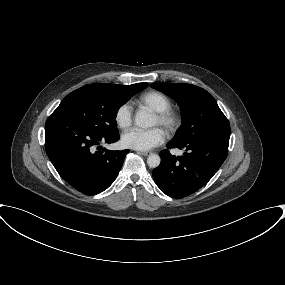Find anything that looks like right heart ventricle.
Instances as JSON below:
<instances>
[{
  "instance_id": "obj_1",
  "label": "right heart ventricle",
  "mask_w": 285,
  "mask_h": 285,
  "mask_svg": "<svg viewBox=\"0 0 285 285\" xmlns=\"http://www.w3.org/2000/svg\"><path fill=\"white\" fill-rule=\"evenodd\" d=\"M139 102L154 112L164 111L171 108L172 105L170 98L160 91H148L142 94Z\"/></svg>"
}]
</instances>
